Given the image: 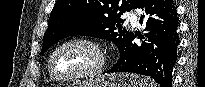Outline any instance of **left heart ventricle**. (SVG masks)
<instances>
[{
    "instance_id": "1",
    "label": "left heart ventricle",
    "mask_w": 205,
    "mask_h": 87,
    "mask_svg": "<svg viewBox=\"0 0 205 87\" xmlns=\"http://www.w3.org/2000/svg\"><path fill=\"white\" fill-rule=\"evenodd\" d=\"M97 61L95 52L88 46L73 44L61 49L54 59V71L66 77L90 70Z\"/></svg>"
}]
</instances>
